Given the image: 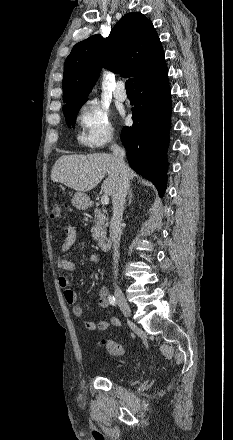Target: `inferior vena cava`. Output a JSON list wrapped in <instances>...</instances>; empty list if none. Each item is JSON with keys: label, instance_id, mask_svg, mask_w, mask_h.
Instances as JSON below:
<instances>
[{"label": "inferior vena cava", "instance_id": "obj_1", "mask_svg": "<svg viewBox=\"0 0 233 440\" xmlns=\"http://www.w3.org/2000/svg\"><path fill=\"white\" fill-rule=\"evenodd\" d=\"M113 151V156L117 162L118 169V180L113 192L112 204H113V215L110 221V240L113 244V266L114 275L117 278L118 274V260L120 258L119 246L120 238L122 234L121 221L124 211L125 198L129 190V178L126 173V165L124 162L125 152L117 144L111 146Z\"/></svg>", "mask_w": 233, "mask_h": 440}]
</instances>
